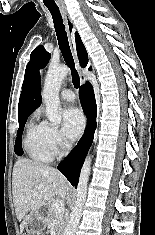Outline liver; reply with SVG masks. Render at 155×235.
<instances>
[{
  "label": "liver",
  "instance_id": "6515ba94",
  "mask_svg": "<svg viewBox=\"0 0 155 235\" xmlns=\"http://www.w3.org/2000/svg\"><path fill=\"white\" fill-rule=\"evenodd\" d=\"M70 185L56 169L26 158H19L13 168L12 193L20 233L39 208L52 198H65Z\"/></svg>",
  "mask_w": 155,
  "mask_h": 235
}]
</instances>
